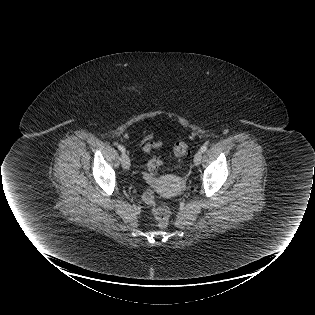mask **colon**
Masks as SVG:
<instances>
[{
  "mask_svg": "<svg viewBox=\"0 0 315 315\" xmlns=\"http://www.w3.org/2000/svg\"><path fill=\"white\" fill-rule=\"evenodd\" d=\"M189 152L188 144L184 141L177 142L173 147V155L175 158H181ZM164 166V161L161 158L155 157L148 162V174L146 178L148 182H153V175L157 173ZM142 199L144 203L150 207L151 213L154 216L157 225L160 228L167 227L170 218V210L166 206H156V200L151 190H146Z\"/></svg>",
  "mask_w": 315,
  "mask_h": 315,
  "instance_id": "colon-1",
  "label": "colon"
}]
</instances>
